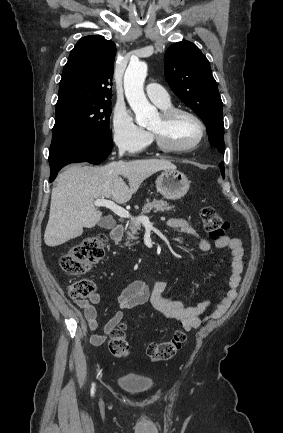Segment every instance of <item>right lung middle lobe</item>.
<instances>
[{
    "label": "right lung middle lobe",
    "instance_id": "1",
    "mask_svg": "<svg viewBox=\"0 0 283 433\" xmlns=\"http://www.w3.org/2000/svg\"><path fill=\"white\" fill-rule=\"evenodd\" d=\"M111 101H96L73 105L56 111L53 136L82 134L112 141L109 129Z\"/></svg>",
    "mask_w": 283,
    "mask_h": 433
}]
</instances>
